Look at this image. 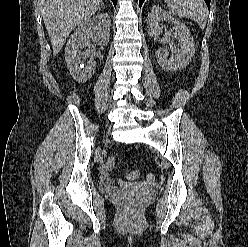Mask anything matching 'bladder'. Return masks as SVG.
<instances>
[{
  "label": "bladder",
  "mask_w": 248,
  "mask_h": 247,
  "mask_svg": "<svg viewBox=\"0 0 248 247\" xmlns=\"http://www.w3.org/2000/svg\"><path fill=\"white\" fill-rule=\"evenodd\" d=\"M102 188L105 193H115L119 190V187L115 184H104Z\"/></svg>",
  "instance_id": "obj_1"
}]
</instances>
